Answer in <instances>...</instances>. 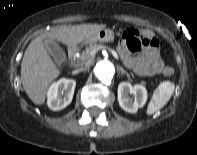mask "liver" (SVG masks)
Here are the masks:
<instances>
[{
  "label": "liver",
  "mask_w": 197,
  "mask_h": 155,
  "mask_svg": "<svg viewBox=\"0 0 197 155\" xmlns=\"http://www.w3.org/2000/svg\"><path fill=\"white\" fill-rule=\"evenodd\" d=\"M105 25L61 26L36 37L28 45L21 64V82L28 97L37 105L45 103L49 85L60 75L45 46V40H58L74 47L92 37Z\"/></svg>",
  "instance_id": "1"
}]
</instances>
